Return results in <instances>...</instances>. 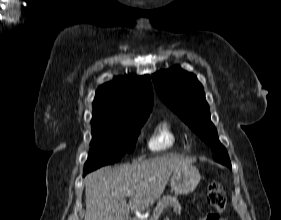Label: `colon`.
<instances>
[{"instance_id":"5ec220e1","label":"colon","mask_w":281,"mask_h":220,"mask_svg":"<svg viewBox=\"0 0 281 220\" xmlns=\"http://www.w3.org/2000/svg\"><path fill=\"white\" fill-rule=\"evenodd\" d=\"M207 200L213 211L203 220H226L223 213L226 209L227 197L220 181H213L208 186Z\"/></svg>"}]
</instances>
